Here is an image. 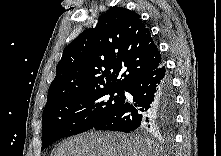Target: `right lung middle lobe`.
I'll list each match as a JSON object with an SVG mask.
<instances>
[{"mask_svg":"<svg viewBox=\"0 0 221 156\" xmlns=\"http://www.w3.org/2000/svg\"><path fill=\"white\" fill-rule=\"evenodd\" d=\"M124 101V90L101 89L73 93L45 108L41 150L56 140L92 129L119 109Z\"/></svg>","mask_w":221,"mask_h":156,"instance_id":"dd1d6c3e","label":"right lung middle lobe"}]
</instances>
